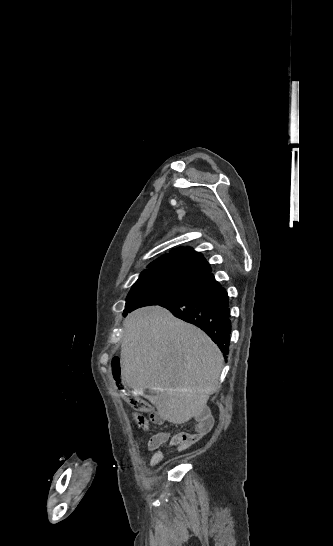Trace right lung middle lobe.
Segmentation results:
<instances>
[{
  "instance_id": "right-lung-middle-lobe-1",
  "label": "right lung middle lobe",
  "mask_w": 333,
  "mask_h": 546,
  "mask_svg": "<svg viewBox=\"0 0 333 546\" xmlns=\"http://www.w3.org/2000/svg\"><path fill=\"white\" fill-rule=\"evenodd\" d=\"M201 282L167 274H141L127 296L124 311L166 302L195 290Z\"/></svg>"
}]
</instances>
